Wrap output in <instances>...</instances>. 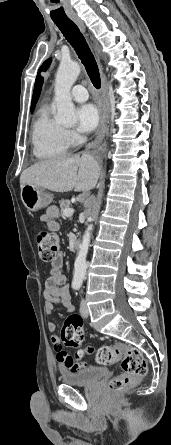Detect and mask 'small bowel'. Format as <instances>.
<instances>
[{"instance_id": "obj_1", "label": "small bowel", "mask_w": 171, "mask_h": 445, "mask_svg": "<svg viewBox=\"0 0 171 445\" xmlns=\"http://www.w3.org/2000/svg\"><path fill=\"white\" fill-rule=\"evenodd\" d=\"M44 223L51 231H57L59 229L58 223L50 218H47ZM62 266L63 255L58 254L51 262L50 275L45 281L43 288V295L45 298L44 312L47 315L52 313L54 304L56 303L61 304L68 313L74 311L69 288L67 286V276L62 272ZM47 328L50 332H55L57 328L56 323L54 321H49L47 323ZM51 343L56 353V360L63 370L74 371L84 367L82 362L75 360L63 350V346L57 335L51 336Z\"/></svg>"}]
</instances>
